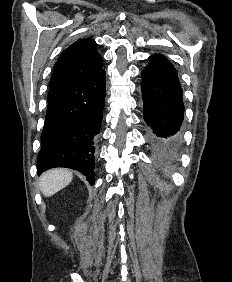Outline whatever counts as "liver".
<instances>
[{"instance_id":"1","label":"liver","mask_w":232,"mask_h":282,"mask_svg":"<svg viewBox=\"0 0 232 282\" xmlns=\"http://www.w3.org/2000/svg\"><path fill=\"white\" fill-rule=\"evenodd\" d=\"M73 179V174L66 169H51L40 178V190L46 197L52 196L66 187Z\"/></svg>"}]
</instances>
